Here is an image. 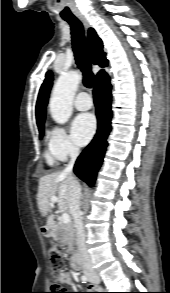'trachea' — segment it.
Listing matches in <instances>:
<instances>
[{
    "label": "trachea",
    "instance_id": "obj_1",
    "mask_svg": "<svg viewBox=\"0 0 170 293\" xmlns=\"http://www.w3.org/2000/svg\"><path fill=\"white\" fill-rule=\"evenodd\" d=\"M65 21L71 27L72 47L76 64L83 73V84L85 87L91 88L94 84V75L87 55L83 25L78 18L65 19Z\"/></svg>",
    "mask_w": 170,
    "mask_h": 293
}]
</instances>
